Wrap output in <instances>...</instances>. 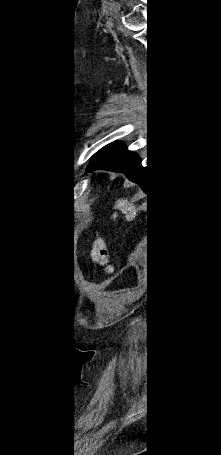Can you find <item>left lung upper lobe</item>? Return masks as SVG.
Segmentation results:
<instances>
[{
	"instance_id": "1",
	"label": "left lung upper lobe",
	"mask_w": 221,
	"mask_h": 455,
	"mask_svg": "<svg viewBox=\"0 0 221 455\" xmlns=\"http://www.w3.org/2000/svg\"><path fill=\"white\" fill-rule=\"evenodd\" d=\"M102 149H103V148H102ZM102 149H101V150H102ZM101 150H99L95 155H93L92 158H93L94 156H96Z\"/></svg>"
}]
</instances>
